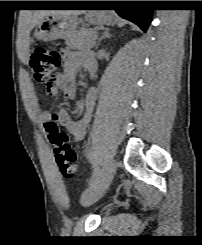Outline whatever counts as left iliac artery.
<instances>
[{
    "label": "left iliac artery",
    "instance_id": "left-iliac-artery-1",
    "mask_svg": "<svg viewBox=\"0 0 202 245\" xmlns=\"http://www.w3.org/2000/svg\"><path fill=\"white\" fill-rule=\"evenodd\" d=\"M93 166H94L93 175H92V178H91V180L89 182V187L83 193V197L90 193V191L94 187L98 177L101 174L100 168L95 162H93Z\"/></svg>",
    "mask_w": 202,
    "mask_h": 245
}]
</instances>
